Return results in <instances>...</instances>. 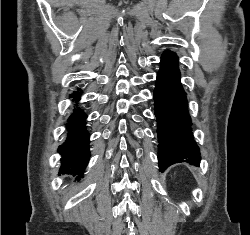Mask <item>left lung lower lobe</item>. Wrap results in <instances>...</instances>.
I'll use <instances>...</instances> for the list:
<instances>
[{
    "label": "left lung lower lobe",
    "mask_w": 250,
    "mask_h": 235,
    "mask_svg": "<svg viewBox=\"0 0 250 235\" xmlns=\"http://www.w3.org/2000/svg\"><path fill=\"white\" fill-rule=\"evenodd\" d=\"M161 58L154 102L159 139V168L163 172L174 163L184 162V159L185 162L198 165L201 156L190 131L191 121L180 81L178 57L171 51H165Z\"/></svg>",
    "instance_id": "0a47b994"
}]
</instances>
